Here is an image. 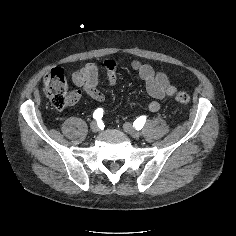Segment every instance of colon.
Returning a JSON list of instances; mask_svg holds the SVG:
<instances>
[{"mask_svg": "<svg viewBox=\"0 0 236 236\" xmlns=\"http://www.w3.org/2000/svg\"><path fill=\"white\" fill-rule=\"evenodd\" d=\"M43 90L56 109L63 110L68 106L70 97L68 81L62 69L54 68L45 75ZM175 101L180 104H188L190 95L184 91H178L175 94Z\"/></svg>", "mask_w": 236, "mask_h": 236, "instance_id": "obj_1", "label": "colon"}]
</instances>
